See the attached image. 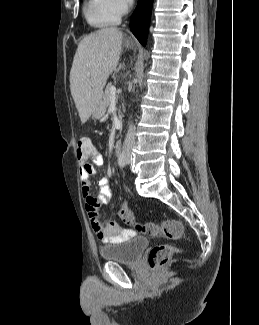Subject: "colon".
<instances>
[{
    "label": "colon",
    "instance_id": "1",
    "mask_svg": "<svg viewBox=\"0 0 259 325\" xmlns=\"http://www.w3.org/2000/svg\"><path fill=\"white\" fill-rule=\"evenodd\" d=\"M94 146L88 137H82L77 143V157L80 161L89 160L94 153ZM118 214L127 224L135 225V228L150 236H160L169 240H180L184 235L183 224L176 219L165 220L162 223L148 222L139 224L135 222L134 215L125 203H122ZM179 252L173 245L160 244L154 246L148 256V263L152 269H159L167 265L172 256Z\"/></svg>",
    "mask_w": 259,
    "mask_h": 325
}]
</instances>
